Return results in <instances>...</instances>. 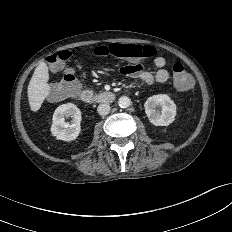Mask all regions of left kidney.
I'll return each mask as SVG.
<instances>
[{
    "instance_id": "5707ae66",
    "label": "left kidney",
    "mask_w": 232,
    "mask_h": 232,
    "mask_svg": "<svg viewBox=\"0 0 232 232\" xmlns=\"http://www.w3.org/2000/svg\"><path fill=\"white\" fill-rule=\"evenodd\" d=\"M157 106L161 107L160 113L155 110ZM144 107L149 121L155 126H168L175 120L176 104L167 94L149 97Z\"/></svg>"
}]
</instances>
